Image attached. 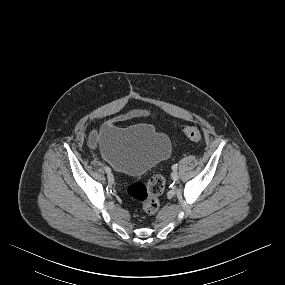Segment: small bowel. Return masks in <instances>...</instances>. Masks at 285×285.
I'll use <instances>...</instances> for the list:
<instances>
[{
  "instance_id": "c3829d8e",
  "label": "small bowel",
  "mask_w": 285,
  "mask_h": 285,
  "mask_svg": "<svg viewBox=\"0 0 285 285\" xmlns=\"http://www.w3.org/2000/svg\"><path fill=\"white\" fill-rule=\"evenodd\" d=\"M149 115H150V113L147 112V111H137L135 113H130L128 115L116 117L114 119V121H119V120H123V119H126V118H131V117H142V116H149ZM97 141H98V133L97 132H93L90 135V139H89L90 145L91 146H96Z\"/></svg>"
}]
</instances>
